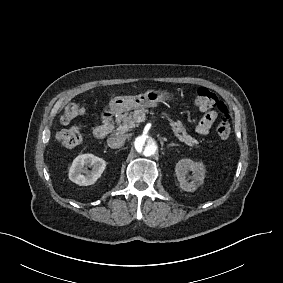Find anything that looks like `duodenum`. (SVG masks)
I'll return each mask as SVG.
<instances>
[{
    "instance_id": "duodenum-1",
    "label": "duodenum",
    "mask_w": 283,
    "mask_h": 283,
    "mask_svg": "<svg viewBox=\"0 0 283 283\" xmlns=\"http://www.w3.org/2000/svg\"><path fill=\"white\" fill-rule=\"evenodd\" d=\"M111 119L112 115L110 113H105L102 115L100 124L96 126L93 131V135L96 139L102 140L106 138L110 131Z\"/></svg>"
}]
</instances>
